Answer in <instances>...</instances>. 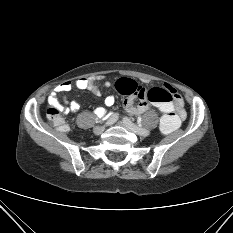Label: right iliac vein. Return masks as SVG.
<instances>
[{"mask_svg":"<svg viewBox=\"0 0 233 233\" xmlns=\"http://www.w3.org/2000/svg\"><path fill=\"white\" fill-rule=\"evenodd\" d=\"M106 126L105 125H101V126H96L94 128V133L96 135H100L104 130H105Z\"/></svg>","mask_w":233,"mask_h":233,"instance_id":"1","label":"right iliac vein"}]
</instances>
